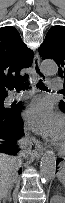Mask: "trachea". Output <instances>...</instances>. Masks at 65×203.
Listing matches in <instances>:
<instances>
[{
    "label": "trachea",
    "mask_w": 65,
    "mask_h": 203,
    "mask_svg": "<svg viewBox=\"0 0 65 203\" xmlns=\"http://www.w3.org/2000/svg\"><path fill=\"white\" fill-rule=\"evenodd\" d=\"M28 86H29V83H28V82H25V83H21V84L15 85V88H16L17 91H21V90L27 89ZM37 87H38L40 90L48 91V88L43 84L42 81H39V82L37 83Z\"/></svg>",
    "instance_id": "3493384b"
}]
</instances>
